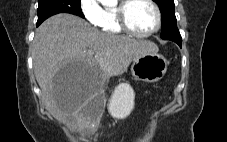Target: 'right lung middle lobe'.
Listing matches in <instances>:
<instances>
[{
  "label": "right lung middle lobe",
  "mask_w": 227,
  "mask_h": 142,
  "mask_svg": "<svg viewBox=\"0 0 227 142\" xmlns=\"http://www.w3.org/2000/svg\"><path fill=\"white\" fill-rule=\"evenodd\" d=\"M58 13H70L84 18L80 0H38V23Z\"/></svg>",
  "instance_id": "dd1d6c3e"
}]
</instances>
